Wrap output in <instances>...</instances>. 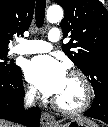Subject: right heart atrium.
I'll list each match as a JSON object with an SVG mask.
<instances>
[{
	"label": "right heart atrium",
	"instance_id": "right-heart-atrium-1",
	"mask_svg": "<svg viewBox=\"0 0 108 127\" xmlns=\"http://www.w3.org/2000/svg\"><path fill=\"white\" fill-rule=\"evenodd\" d=\"M26 95L28 98L34 99L37 96V91L33 86L29 85L26 88Z\"/></svg>",
	"mask_w": 108,
	"mask_h": 127
}]
</instances>
